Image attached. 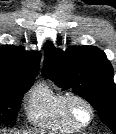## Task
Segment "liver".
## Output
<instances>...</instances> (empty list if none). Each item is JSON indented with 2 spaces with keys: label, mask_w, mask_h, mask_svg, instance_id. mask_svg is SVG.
<instances>
[{
  "label": "liver",
  "mask_w": 116,
  "mask_h": 134,
  "mask_svg": "<svg viewBox=\"0 0 116 134\" xmlns=\"http://www.w3.org/2000/svg\"><path fill=\"white\" fill-rule=\"evenodd\" d=\"M1 133V132H0ZM3 134H6V132H4ZM14 134H20V133H14ZM21 134H43V133H39V132H31V131H29V132H23V133H21Z\"/></svg>",
  "instance_id": "liver-1"
}]
</instances>
